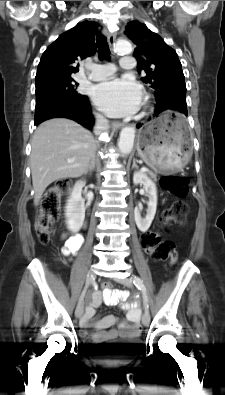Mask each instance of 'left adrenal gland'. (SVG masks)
Here are the masks:
<instances>
[{
	"label": "left adrenal gland",
	"instance_id": "left-adrenal-gland-1",
	"mask_svg": "<svg viewBox=\"0 0 225 395\" xmlns=\"http://www.w3.org/2000/svg\"><path fill=\"white\" fill-rule=\"evenodd\" d=\"M133 168H137V169H138V166H137V164H136V159H135V158L133 159L132 169H133Z\"/></svg>",
	"mask_w": 225,
	"mask_h": 395
}]
</instances>
